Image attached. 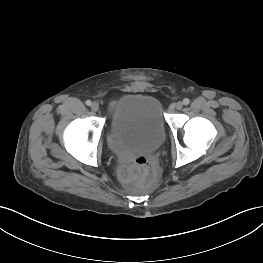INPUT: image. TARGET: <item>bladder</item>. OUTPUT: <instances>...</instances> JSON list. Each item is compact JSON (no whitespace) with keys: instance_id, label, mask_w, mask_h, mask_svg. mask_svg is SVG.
<instances>
[{"instance_id":"31cf9c89","label":"bladder","mask_w":263,"mask_h":263,"mask_svg":"<svg viewBox=\"0 0 263 263\" xmlns=\"http://www.w3.org/2000/svg\"><path fill=\"white\" fill-rule=\"evenodd\" d=\"M109 130L113 140L127 152H155L166 138L160 102L144 94L123 95L114 107Z\"/></svg>"}]
</instances>
